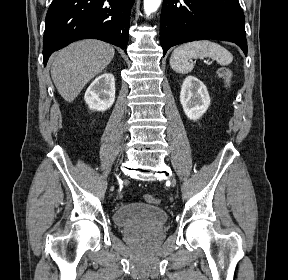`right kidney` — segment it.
I'll return each instance as SVG.
<instances>
[{
  "instance_id": "ca27d5eb",
  "label": "right kidney",
  "mask_w": 288,
  "mask_h": 280,
  "mask_svg": "<svg viewBox=\"0 0 288 280\" xmlns=\"http://www.w3.org/2000/svg\"><path fill=\"white\" fill-rule=\"evenodd\" d=\"M85 102L91 110L105 111L115 101V79L111 73L97 77L85 92Z\"/></svg>"
}]
</instances>
